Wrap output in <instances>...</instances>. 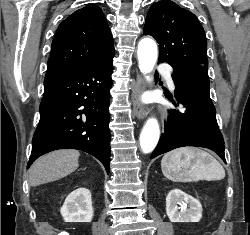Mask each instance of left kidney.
I'll use <instances>...</instances> for the list:
<instances>
[{"mask_svg": "<svg viewBox=\"0 0 250 235\" xmlns=\"http://www.w3.org/2000/svg\"><path fill=\"white\" fill-rule=\"evenodd\" d=\"M166 214L171 222H199L202 206L194 197L180 189H173L166 197Z\"/></svg>", "mask_w": 250, "mask_h": 235, "instance_id": "obj_1", "label": "left kidney"}]
</instances>
